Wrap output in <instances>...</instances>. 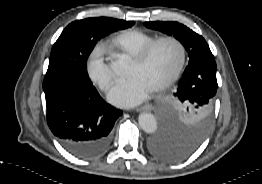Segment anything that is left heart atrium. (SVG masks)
Segmentation results:
<instances>
[{
	"label": "left heart atrium",
	"instance_id": "1",
	"mask_svg": "<svg viewBox=\"0 0 262 184\" xmlns=\"http://www.w3.org/2000/svg\"><path fill=\"white\" fill-rule=\"evenodd\" d=\"M152 89L135 75L119 81L108 93V100L116 106L132 107L146 100Z\"/></svg>",
	"mask_w": 262,
	"mask_h": 184
}]
</instances>
